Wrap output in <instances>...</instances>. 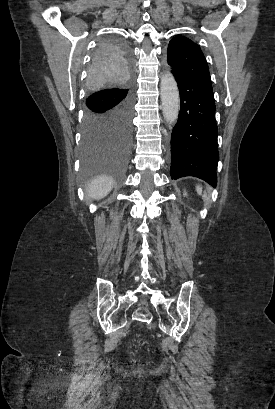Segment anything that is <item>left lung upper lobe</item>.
Instances as JSON below:
<instances>
[{
  "mask_svg": "<svg viewBox=\"0 0 275 409\" xmlns=\"http://www.w3.org/2000/svg\"><path fill=\"white\" fill-rule=\"evenodd\" d=\"M167 61L174 73L211 85L207 61L200 47L190 39L181 35L173 38L169 42Z\"/></svg>",
  "mask_w": 275,
  "mask_h": 409,
  "instance_id": "5c2ea615",
  "label": "left lung upper lobe"
}]
</instances>
